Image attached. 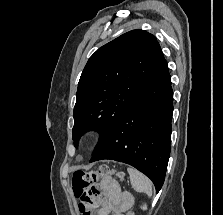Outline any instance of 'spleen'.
<instances>
[{
  "mask_svg": "<svg viewBox=\"0 0 223 215\" xmlns=\"http://www.w3.org/2000/svg\"><path fill=\"white\" fill-rule=\"evenodd\" d=\"M127 171L130 175L132 187H134L136 191H145L148 195H152V183L146 175H143L138 169H133V167H127Z\"/></svg>",
  "mask_w": 223,
  "mask_h": 215,
  "instance_id": "spleen-1",
  "label": "spleen"
}]
</instances>
